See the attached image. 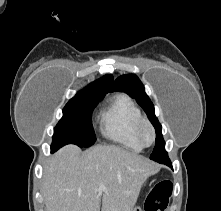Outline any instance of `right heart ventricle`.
I'll list each match as a JSON object with an SVG mask.
<instances>
[{
	"mask_svg": "<svg viewBox=\"0 0 221 211\" xmlns=\"http://www.w3.org/2000/svg\"><path fill=\"white\" fill-rule=\"evenodd\" d=\"M136 103L126 94L115 95L100 113L103 135L135 152L144 146L136 134V127L142 118Z\"/></svg>",
	"mask_w": 221,
	"mask_h": 211,
	"instance_id": "e07e8e85",
	"label": "right heart ventricle"
}]
</instances>
